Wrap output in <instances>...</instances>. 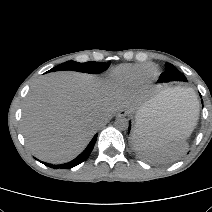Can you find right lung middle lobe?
Segmentation results:
<instances>
[{"label":"right lung middle lobe","mask_w":212,"mask_h":212,"mask_svg":"<svg viewBox=\"0 0 212 212\" xmlns=\"http://www.w3.org/2000/svg\"><path fill=\"white\" fill-rule=\"evenodd\" d=\"M109 66H110L109 63H100V62L78 63L75 61H68L52 68L51 70H49V72L59 70H74L79 72L97 74L104 72Z\"/></svg>","instance_id":"dd1d6c3e"}]
</instances>
